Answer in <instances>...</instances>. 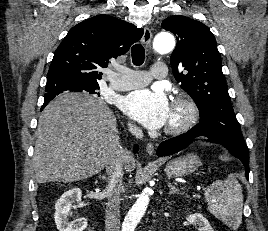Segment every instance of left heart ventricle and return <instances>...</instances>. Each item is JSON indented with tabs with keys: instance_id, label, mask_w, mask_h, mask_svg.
<instances>
[{
	"instance_id": "obj_1",
	"label": "left heart ventricle",
	"mask_w": 268,
	"mask_h": 231,
	"mask_svg": "<svg viewBox=\"0 0 268 231\" xmlns=\"http://www.w3.org/2000/svg\"><path fill=\"white\" fill-rule=\"evenodd\" d=\"M182 111L177 107H171L170 114L166 125H173L179 122L182 118Z\"/></svg>"
}]
</instances>
